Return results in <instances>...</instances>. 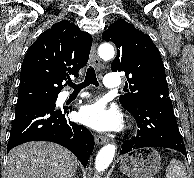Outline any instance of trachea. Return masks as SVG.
<instances>
[{"mask_svg": "<svg viewBox=\"0 0 194 178\" xmlns=\"http://www.w3.org/2000/svg\"><path fill=\"white\" fill-rule=\"evenodd\" d=\"M68 85L73 87L74 91H80L81 89L89 86L90 84H93L95 86H99V83L97 81L96 73L93 67H89L86 72L85 80L83 83H80L78 85L72 83V82H67Z\"/></svg>", "mask_w": 194, "mask_h": 178, "instance_id": "1", "label": "trachea"}]
</instances>
